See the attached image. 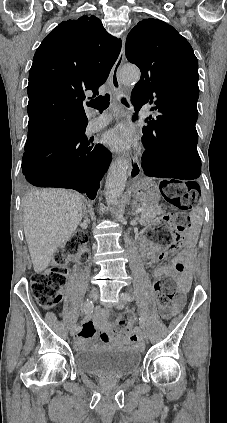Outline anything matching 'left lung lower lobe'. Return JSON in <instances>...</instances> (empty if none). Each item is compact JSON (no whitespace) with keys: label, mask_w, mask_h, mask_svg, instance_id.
<instances>
[{"label":"left lung lower lobe","mask_w":227,"mask_h":423,"mask_svg":"<svg viewBox=\"0 0 227 423\" xmlns=\"http://www.w3.org/2000/svg\"><path fill=\"white\" fill-rule=\"evenodd\" d=\"M145 121L148 124L143 126L142 137L146 149L142 157L144 173L150 177L181 180L198 178L201 159L197 152V119L159 114Z\"/></svg>","instance_id":"1"}]
</instances>
